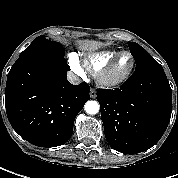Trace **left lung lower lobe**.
I'll list each match as a JSON object with an SVG mask.
<instances>
[{
	"instance_id": "left-lung-lower-lobe-1",
	"label": "left lung lower lobe",
	"mask_w": 178,
	"mask_h": 178,
	"mask_svg": "<svg viewBox=\"0 0 178 178\" xmlns=\"http://www.w3.org/2000/svg\"><path fill=\"white\" fill-rule=\"evenodd\" d=\"M97 100L107 142L125 154L155 145L171 118L172 91L162 66L133 74L120 89H98Z\"/></svg>"
}]
</instances>
